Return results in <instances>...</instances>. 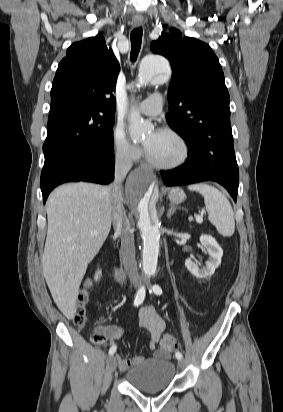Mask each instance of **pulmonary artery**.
Masks as SVG:
<instances>
[{"mask_svg":"<svg viewBox=\"0 0 283 412\" xmlns=\"http://www.w3.org/2000/svg\"><path fill=\"white\" fill-rule=\"evenodd\" d=\"M163 102L164 99L161 94H153L142 101L138 109L146 116H157L162 110Z\"/></svg>","mask_w":283,"mask_h":412,"instance_id":"pulmonary-artery-1","label":"pulmonary artery"}]
</instances>
